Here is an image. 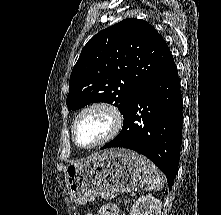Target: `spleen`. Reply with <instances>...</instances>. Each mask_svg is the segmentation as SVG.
I'll use <instances>...</instances> for the list:
<instances>
[{
    "mask_svg": "<svg viewBox=\"0 0 221 215\" xmlns=\"http://www.w3.org/2000/svg\"><path fill=\"white\" fill-rule=\"evenodd\" d=\"M142 178L140 187L145 191L161 190L164 187V177L149 159L141 156Z\"/></svg>",
    "mask_w": 221,
    "mask_h": 215,
    "instance_id": "spleen-1",
    "label": "spleen"
}]
</instances>
